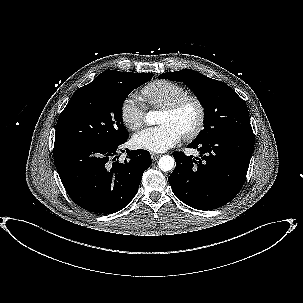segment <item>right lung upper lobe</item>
Here are the masks:
<instances>
[{
  "label": "right lung upper lobe",
  "mask_w": 303,
  "mask_h": 303,
  "mask_svg": "<svg viewBox=\"0 0 303 303\" xmlns=\"http://www.w3.org/2000/svg\"><path fill=\"white\" fill-rule=\"evenodd\" d=\"M129 72H119V71H114V70H108V71H105L103 73H101L100 75H103V74H120V75H124V74H127Z\"/></svg>",
  "instance_id": "right-lung-upper-lobe-1"
}]
</instances>
